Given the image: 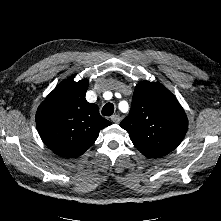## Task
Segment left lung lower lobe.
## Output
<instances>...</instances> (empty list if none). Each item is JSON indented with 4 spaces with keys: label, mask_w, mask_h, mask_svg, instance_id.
Returning <instances> with one entry per match:
<instances>
[{
    "label": "left lung lower lobe",
    "mask_w": 221,
    "mask_h": 221,
    "mask_svg": "<svg viewBox=\"0 0 221 221\" xmlns=\"http://www.w3.org/2000/svg\"><path fill=\"white\" fill-rule=\"evenodd\" d=\"M142 154H144V153H142ZM146 157H150L149 155H146V154H144Z\"/></svg>",
    "instance_id": "0a47b994"
}]
</instances>
